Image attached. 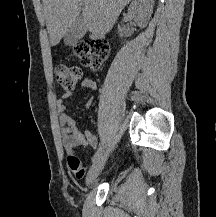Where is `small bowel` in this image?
<instances>
[{
  "mask_svg": "<svg viewBox=\"0 0 216 217\" xmlns=\"http://www.w3.org/2000/svg\"><path fill=\"white\" fill-rule=\"evenodd\" d=\"M81 86L87 90L93 91L96 89V83L91 78H84L81 82ZM73 94V90H66L58 98L56 102L57 112L59 115V123L61 127L62 141L67 154L75 155V148L79 146H90L92 148H97L98 141L97 137L89 130L79 131L76 127L75 120L69 116L66 112L65 100L68 99ZM93 101L91 97L89 103ZM82 174L76 175L77 178H82L84 176L85 170L81 167Z\"/></svg>",
  "mask_w": 216,
  "mask_h": 217,
  "instance_id": "c3829d8e",
  "label": "small bowel"
}]
</instances>
